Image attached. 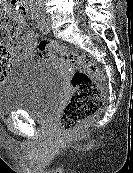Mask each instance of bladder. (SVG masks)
<instances>
[{"instance_id":"obj_1","label":"bladder","mask_w":133,"mask_h":173,"mask_svg":"<svg viewBox=\"0 0 133 173\" xmlns=\"http://www.w3.org/2000/svg\"><path fill=\"white\" fill-rule=\"evenodd\" d=\"M63 94L64 82L55 66L32 58L18 60L0 83V114L25 112L48 122Z\"/></svg>"}]
</instances>
